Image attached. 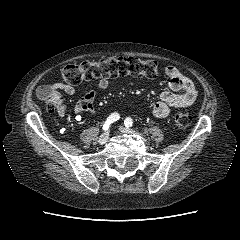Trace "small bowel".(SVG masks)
I'll return each instance as SVG.
<instances>
[{"mask_svg": "<svg viewBox=\"0 0 240 240\" xmlns=\"http://www.w3.org/2000/svg\"><path fill=\"white\" fill-rule=\"evenodd\" d=\"M165 74L169 79V90L162 92L159 101L153 106L152 113L156 118L167 117L172 109L190 106L198 97V92L193 82L176 67L167 66ZM110 83L111 81L108 78H102L97 82L95 88H90L84 93H79L73 86L63 83H56L54 87L62 90L67 95L79 96L78 101L73 107V111L76 115H82L94 113V100L97 90L107 89ZM67 111L68 107L62 104L58 114L63 116Z\"/></svg>", "mask_w": 240, "mask_h": 240, "instance_id": "1", "label": "small bowel"}]
</instances>
